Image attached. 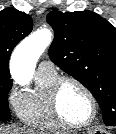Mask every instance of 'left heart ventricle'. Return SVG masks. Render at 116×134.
<instances>
[{
    "label": "left heart ventricle",
    "instance_id": "obj_1",
    "mask_svg": "<svg viewBox=\"0 0 116 134\" xmlns=\"http://www.w3.org/2000/svg\"><path fill=\"white\" fill-rule=\"evenodd\" d=\"M60 108L63 115L75 123L85 122L92 113L88 96L78 86L71 83L64 85L61 90Z\"/></svg>",
    "mask_w": 116,
    "mask_h": 134
}]
</instances>
